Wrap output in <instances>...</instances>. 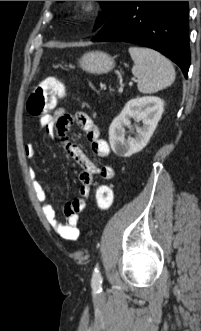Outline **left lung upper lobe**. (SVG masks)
<instances>
[{"label":"left lung upper lobe","mask_w":201,"mask_h":331,"mask_svg":"<svg viewBox=\"0 0 201 331\" xmlns=\"http://www.w3.org/2000/svg\"><path fill=\"white\" fill-rule=\"evenodd\" d=\"M104 9V12L100 14L97 19L95 28L102 26L109 17L115 12L121 1H99Z\"/></svg>","instance_id":"obj_1"}]
</instances>
